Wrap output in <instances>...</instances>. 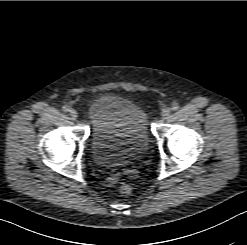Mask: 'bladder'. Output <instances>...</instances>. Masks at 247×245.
Returning a JSON list of instances; mask_svg holds the SVG:
<instances>
[{"label": "bladder", "mask_w": 247, "mask_h": 245, "mask_svg": "<svg viewBox=\"0 0 247 245\" xmlns=\"http://www.w3.org/2000/svg\"><path fill=\"white\" fill-rule=\"evenodd\" d=\"M94 161L112 167L143 154L149 146L147 116L130 99L113 94L99 96L87 109Z\"/></svg>", "instance_id": "31cf9c89"}]
</instances>
